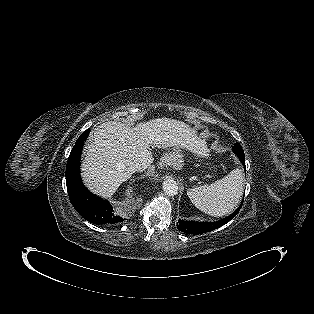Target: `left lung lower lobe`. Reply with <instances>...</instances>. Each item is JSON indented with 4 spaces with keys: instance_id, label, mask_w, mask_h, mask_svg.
Wrapping results in <instances>:
<instances>
[{
    "instance_id": "left-lung-lower-lobe-1",
    "label": "left lung lower lobe",
    "mask_w": 314,
    "mask_h": 314,
    "mask_svg": "<svg viewBox=\"0 0 314 314\" xmlns=\"http://www.w3.org/2000/svg\"><path fill=\"white\" fill-rule=\"evenodd\" d=\"M238 158L243 163V165H245V156L241 155V156H238ZM240 208H241V205L233 214H231L230 216L218 222L202 223V222H195V221H184V220L179 219L177 223V228L179 231H182L186 234H202L205 232H209L228 223L232 218L236 216Z\"/></svg>"
}]
</instances>
